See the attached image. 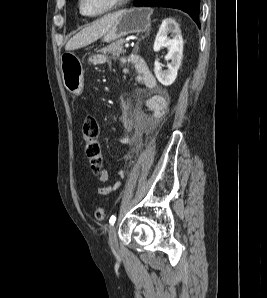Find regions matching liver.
I'll list each match as a JSON object with an SVG mask.
<instances>
[{"instance_id":"1","label":"liver","mask_w":267,"mask_h":298,"mask_svg":"<svg viewBox=\"0 0 267 298\" xmlns=\"http://www.w3.org/2000/svg\"><path fill=\"white\" fill-rule=\"evenodd\" d=\"M121 11L108 14L74 35L66 44L67 51L85 47L102 37L117 21Z\"/></svg>"}]
</instances>
